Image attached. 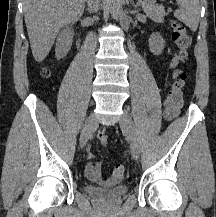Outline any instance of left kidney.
<instances>
[{
    "instance_id": "5707ae66",
    "label": "left kidney",
    "mask_w": 216,
    "mask_h": 217,
    "mask_svg": "<svg viewBox=\"0 0 216 217\" xmlns=\"http://www.w3.org/2000/svg\"><path fill=\"white\" fill-rule=\"evenodd\" d=\"M165 47V41L159 33H152L149 37V48L154 55H160Z\"/></svg>"
}]
</instances>
